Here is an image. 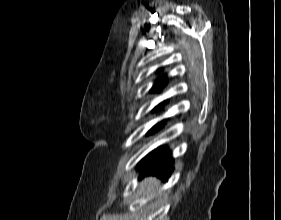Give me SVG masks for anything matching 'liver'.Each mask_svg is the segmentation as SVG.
<instances>
[{
  "label": "liver",
  "mask_w": 281,
  "mask_h": 220,
  "mask_svg": "<svg viewBox=\"0 0 281 220\" xmlns=\"http://www.w3.org/2000/svg\"><path fill=\"white\" fill-rule=\"evenodd\" d=\"M154 185L159 186L160 181L157 179H153L152 177H149L141 183L140 187H144L145 193H147V192H151L154 189Z\"/></svg>",
  "instance_id": "liver-1"
}]
</instances>
